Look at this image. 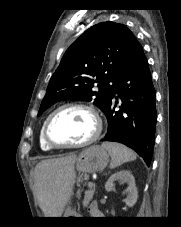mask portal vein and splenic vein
Wrapping results in <instances>:
<instances>
[{
    "label": "portal vein and splenic vein",
    "mask_w": 181,
    "mask_h": 227,
    "mask_svg": "<svg viewBox=\"0 0 181 227\" xmlns=\"http://www.w3.org/2000/svg\"><path fill=\"white\" fill-rule=\"evenodd\" d=\"M89 187L93 188V187H95V184L93 182H89Z\"/></svg>",
    "instance_id": "portal-vein-and-splenic-vein-1"
}]
</instances>
